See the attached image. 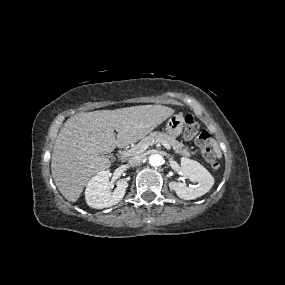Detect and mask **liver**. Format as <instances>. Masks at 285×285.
<instances>
[{"label": "liver", "mask_w": 285, "mask_h": 285, "mask_svg": "<svg viewBox=\"0 0 285 285\" xmlns=\"http://www.w3.org/2000/svg\"><path fill=\"white\" fill-rule=\"evenodd\" d=\"M173 113L167 106L139 105L70 117L57 136L51 159L58 190L65 199L76 202L88 180L111 166L100 154L139 141Z\"/></svg>", "instance_id": "6515ba94"}]
</instances>
